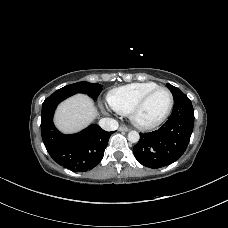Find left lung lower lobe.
I'll return each instance as SVG.
<instances>
[{
	"label": "left lung lower lobe",
	"mask_w": 228,
	"mask_h": 228,
	"mask_svg": "<svg viewBox=\"0 0 228 228\" xmlns=\"http://www.w3.org/2000/svg\"><path fill=\"white\" fill-rule=\"evenodd\" d=\"M193 126L194 110L185 95L175 100L172 114L160 129L140 134V140L133 148L135 158L153 169L175 162L185 152Z\"/></svg>",
	"instance_id": "0a47b994"
}]
</instances>
